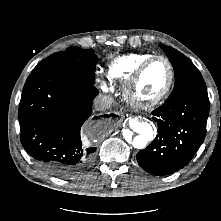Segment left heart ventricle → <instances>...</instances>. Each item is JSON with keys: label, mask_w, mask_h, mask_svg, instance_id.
I'll use <instances>...</instances> for the list:
<instances>
[{"label": "left heart ventricle", "mask_w": 221, "mask_h": 221, "mask_svg": "<svg viewBox=\"0 0 221 221\" xmlns=\"http://www.w3.org/2000/svg\"><path fill=\"white\" fill-rule=\"evenodd\" d=\"M168 78L169 71L166 63L157 60L146 69L136 85L135 93L142 100L154 98L163 91Z\"/></svg>", "instance_id": "1"}]
</instances>
